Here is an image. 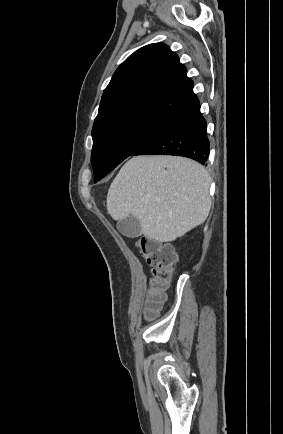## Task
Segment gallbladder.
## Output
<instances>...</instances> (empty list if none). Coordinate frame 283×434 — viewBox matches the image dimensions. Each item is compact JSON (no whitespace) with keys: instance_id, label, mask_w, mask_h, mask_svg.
<instances>
[{"instance_id":"1","label":"gallbladder","mask_w":283,"mask_h":434,"mask_svg":"<svg viewBox=\"0 0 283 434\" xmlns=\"http://www.w3.org/2000/svg\"><path fill=\"white\" fill-rule=\"evenodd\" d=\"M117 228L124 236L129 238H135L142 234L140 222L132 215L118 221Z\"/></svg>"}]
</instances>
